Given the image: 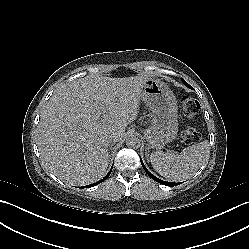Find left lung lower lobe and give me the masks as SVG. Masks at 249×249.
<instances>
[{
	"label": "left lung lower lobe",
	"instance_id": "obj_1",
	"mask_svg": "<svg viewBox=\"0 0 249 249\" xmlns=\"http://www.w3.org/2000/svg\"><path fill=\"white\" fill-rule=\"evenodd\" d=\"M140 160H141V159H140ZM141 164H142L144 170L146 171V173H147L153 180H155V181H157L158 183H161V184H163V185L173 186L174 183L161 181V180H159L157 177H155L154 175H152V174L147 170V168L144 166L142 160H141Z\"/></svg>",
	"mask_w": 249,
	"mask_h": 249
}]
</instances>
